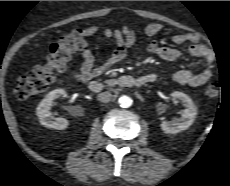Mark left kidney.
<instances>
[{"label":"left kidney","instance_id":"1","mask_svg":"<svg viewBox=\"0 0 230 186\" xmlns=\"http://www.w3.org/2000/svg\"><path fill=\"white\" fill-rule=\"evenodd\" d=\"M172 97L181 101L186 109L182 113V117L173 121H163L161 129L168 134H175L181 130L189 128L197 115V108L191 98L183 92L175 91L171 94Z\"/></svg>","mask_w":230,"mask_h":186}]
</instances>
